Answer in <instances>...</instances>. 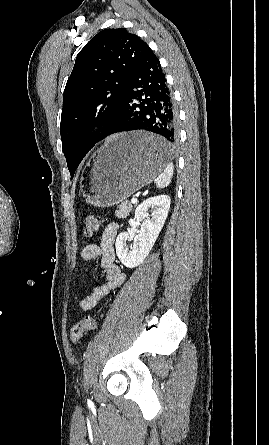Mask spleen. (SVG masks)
<instances>
[{"label": "spleen", "mask_w": 269, "mask_h": 445, "mask_svg": "<svg viewBox=\"0 0 269 445\" xmlns=\"http://www.w3.org/2000/svg\"><path fill=\"white\" fill-rule=\"evenodd\" d=\"M173 172H174L173 164L172 163L167 164V166L164 168L163 173L160 174L156 179L157 188L167 187L171 183Z\"/></svg>", "instance_id": "obj_1"}]
</instances>
